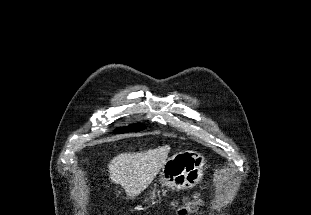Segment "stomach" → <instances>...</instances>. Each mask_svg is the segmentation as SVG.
<instances>
[{"label": "stomach", "instance_id": "obj_1", "mask_svg": "<svg viewBox=\"0 0 311 215\" xmlns=\"http://www.w3.org/2000/svg\"><path fill=\"white\" fill-rule=\"evenodd\" d=\"M205 165L206 158L201 153L195 150L179 151L164 163L161 185L176 190L190 189L202 180ZM154 191L151 198L155 197Z\"/></svg>", "mask_w": 311, "mask_h": 215}]
</instances>
